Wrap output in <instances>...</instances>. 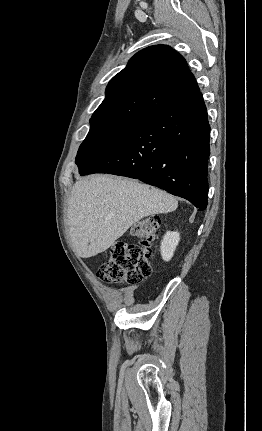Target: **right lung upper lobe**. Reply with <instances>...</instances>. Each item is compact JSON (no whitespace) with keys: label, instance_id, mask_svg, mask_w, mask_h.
<instances>
[{"label":"right lung upper lobe","instance_id":"right-lung-upper-lobe-1","mask_svg":"<svg viewBox=\"0 0 262 431\" xmlns=\"http://www.w3.org/2000/svg\"><path fill=\"white\" fill-rule=\"evenodd\" d=\"M200 93L185 59L166 45L147 47L109 82L91 125L134 123Z\"/></svg>","mask_w":262,"mask_h":431}]
</instances>
